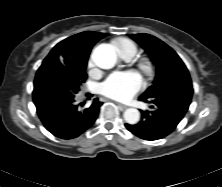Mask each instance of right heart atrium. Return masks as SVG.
Returning <instances> with one entry per match:
<instances>
[{"label": "right heart atrium", "instance_id": "1", "mask_svg": "<svg viewBox=\"0 0 222 187\" xmlns=\"http://www.w3.org/2000/svg\"><path fill=\"white\" fill-rule=\"evenodd\" d=\"M89 66L90 67L93 66V61L92 60L89 61Z\"/></svg>", "mask_w": 222, "mask_h": 187}]
</instances>
